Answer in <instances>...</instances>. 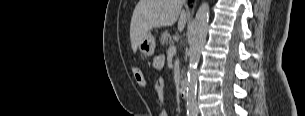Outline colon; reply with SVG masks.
Returning a JSON list of instances; mask_svg holds the SVG:
<instances>
[{
	"mask_svg": "<svg viewBox=\"0 0 305 116\" xmlns=\"http://www.w3.org/2000/svg\"><path fill=\"white\" fill-rule=\"evenodd\" d=\"M132 73H133V77L135 82L140 86L145 88L147 86V81L143 75V73L141 72L140 69H138L137 67H134L132 69Z\"/></svg>",
	"mask_w": 305,
	"mask_h": 116,
	"instance_id": "1",
	"label": "colon"
}]
</instances>
